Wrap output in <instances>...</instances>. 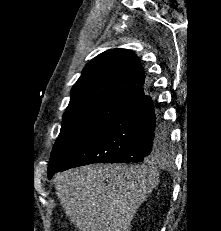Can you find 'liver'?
<instances>
[{
    "label": "liver",
    "mask_w": 221,
    "mask_h": 231,
    "mask_svg": "<svg viewBox=\"0 0 221 231\" xmlns=\"http://www.w3.org/2000/svg\"><path fill=\"white\" fill-rule=\"evenodd\" d=\"M54 182L66 216L80 231H129L159 172L146 165L96 164L57 174Z\"/></svg>",
    "instance_id": "6515ba94"
}]
</instances>
